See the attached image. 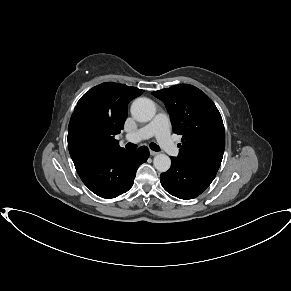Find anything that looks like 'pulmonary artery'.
Returning <instances> with one entry per match:
<instances>
[{"label": "pulmonary artery", "mask_w": 291, "mask_h": 291, "mask_svg": "<svg viewBox=\"0 0 291 291\" xmlns=\"http://www.w3.org/2000/svg\"><path fill=\"white\" fill-rule=\"evenodd\" d=\"M170 121L166 114L159 113L155 118L135 132L128 133L124 140L128 142H139L155 136L161 147L171 156L178 154V148L170 136Z\"/></svg>", "instance_id": "obj_1"}]
</instances>
